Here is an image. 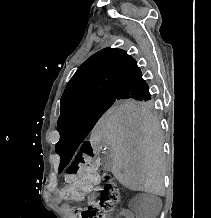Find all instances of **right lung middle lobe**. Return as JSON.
Returning <instances> with one entry per match:
<instances>
[{
  "label": "right lung middle lobe",
  "instance_id": "dd1d6c3e",
  "mask_svg": "<svg viewBox=\"0 0 211 218\" xmlns=\"http://www.w3.org/2000/svg\"><path fill=\"white\" fill-rule=\"evenodd\" d=\"M154 100L149 98L100 97L81 102L60 114L58 119L59 143L80 145L99 118L109 109L154 108Z\"/></svg>",
  "mask_w": 211,
  "mask_h": 218
}]
</instances>
